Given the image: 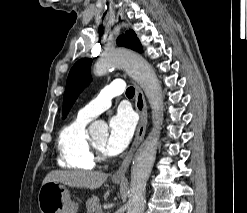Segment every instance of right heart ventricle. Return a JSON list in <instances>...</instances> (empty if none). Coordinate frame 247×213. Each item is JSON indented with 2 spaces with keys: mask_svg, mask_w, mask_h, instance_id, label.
<instances>
[{
  "mask_svg": "<svg viewBox=\"0 0 247 213\" xmlns=\"http://www.w3.org/2000/svg\"><path fill=\"white\" fill-rule=\"evenodd\" d=\"M87 120L75 118L65 125L57 138V163L61 168L72 170H92L96 161L89 149Z\"/></svg>",
  "mask_w": 247,
  "mask_h": 213,
  "instance_id": "right-heart-ventricle-1",
  "label": "right heart ventricle"
}]
</instances>
